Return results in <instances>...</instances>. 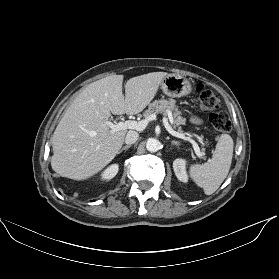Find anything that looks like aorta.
Returning a JSON list of instances; mask_svg holds the SVG:
<instances>
[{"label":"aorta","mask_w":279,"mask_h":279,"mask_svg":"<svg viewBox=\"0 0 279 279\" xmlns=\"http://www.w3.org/2000/svg\"><path fill=\"white\" fill-rule=\"evenodd\" d=\"M160 147H161L160 141L155 138L148 139L146 143V149L149 152H157L160 149Z\"/></svg>","instance_id":"1"}]
</instances>
